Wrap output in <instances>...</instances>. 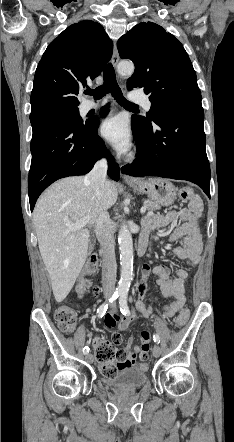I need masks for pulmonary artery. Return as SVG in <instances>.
I'll use <instances>...</instances> for the list:
<instances>
[{"instance_id": "obj_1", "label": "pulmonary artery", "mask_w": 234, "mask_h": 442, "mask_svg": "<svg viewBox=\"0 0 234 442\" xmlns=\"http://www.w3.org/2000/svg\"><path fill=\"white\" fill-rule=\"evenodd\" d=\"M130 99L134 102L140 103L145 110L149 111L151 109V102L145 95H132ZM101 104L94 103L92 101H86L83 104V111L88 112L93 109H99Z\"/></svg>"}]
</instances>
